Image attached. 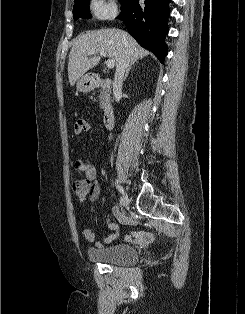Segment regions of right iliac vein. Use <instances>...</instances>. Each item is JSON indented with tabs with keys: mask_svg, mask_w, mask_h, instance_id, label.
<instances>
[{
	"mask_svg": "<svg viewBox=\"0 0 245 314\" xmlns=\"http://www.w3.org/2000/svg\"><path fill=\"white\" fill-rule=\"evenodd\" d=\"M129 204L128 195L126 192L122 193V205L127 206Z\"/></svg>",
	"mask_w": 245,
	"mask_h": 314,
	"instance_id": "right-iliac-vein-1",
	"label": "right iliac vein"
}]
</instances>
